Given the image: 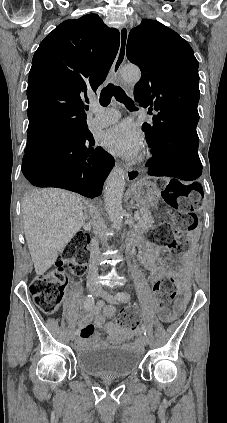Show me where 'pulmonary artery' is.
<instances>
[{
  "label": "pulmonary artery",
  "instance_id": "obj_1",
  "mask_svg": "<svg viewBox=\"0 0 227 423\" xmlns=\"http://www.w3.org/2000/svg\"><path fill=\"white\" fill-rule=\"evenodd\" d=\"M95 117L90 121L91 129L99 130L119 122L120 113L113 108L92 107Z\"/></svg>",
  "mask_w": 227,
  "mask_h": 423
}]
</instances>
